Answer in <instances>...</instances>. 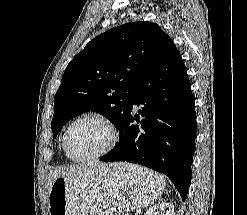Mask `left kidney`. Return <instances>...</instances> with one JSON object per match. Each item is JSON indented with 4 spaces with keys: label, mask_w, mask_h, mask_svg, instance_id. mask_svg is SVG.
<instances>
[{
    "label": "left kidney",
    "mask_w": 247,
    "mask_h": 215,
    "mask_svg": "<svg viewBox=\"0 0 247 215\" xmlns=\"http://www.w3.org/2000/svg\"><path fill=\"white\" fill-rule=\"evenodd\" d=\"M145 215H175L174 205L170 202H162L149 208Z\"/></svg>",
    "instance_id": "5707ae66"
}]
</instances>
